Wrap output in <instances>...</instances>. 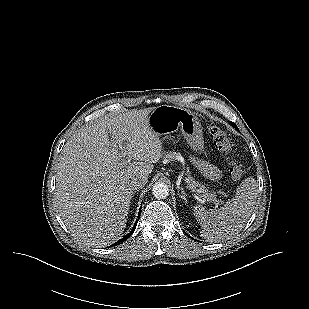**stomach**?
Segmentation results:
<instances>
[{"mask_svg":"<svg viewBox=\"0 0 309 309\" xmlns=\"http://www.w3.org/2000/svg\"><path fill=\"white\" fill-rule=\"evenodd\" d=\"M147 125L159 137H168L180 130L193 151L199 154L203 150L204 142L200 121L185 108L170 105L158 106L149 114Z\"/></svg>","mask_w":309,"mask_h":309,"instance_id":"1","label":"stomach"}]
</instances>
